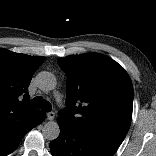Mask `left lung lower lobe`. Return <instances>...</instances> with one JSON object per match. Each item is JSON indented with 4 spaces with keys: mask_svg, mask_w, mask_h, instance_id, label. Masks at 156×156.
Returning a JSON list of instances; mask_svg holds the SVG:
<instances>
[{
    "mask_svg": "<svg viewBox=\"0 0 156 156\" xmlns=\"http://www.w3.org/2000/svg\"><path fill=\"white\" fill-rule=\"evenodd\" d=\"M57 121L60 135L50 143L53 156H113L119 147L103 137L79 132L63 119Z\"/></svg>",
    "mask_w": 156,
    "mask_h": 156,
    "instance_id": "obj_1",
    "label": "left lung lower lobe"
}]
</instances>
